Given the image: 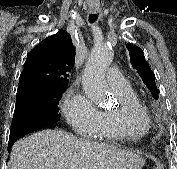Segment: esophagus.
<instances>
[{
    "label": "esophagus",
    "instance_id": "34e87169",
    "mask_svg": "<svg viewBox=\"0 0 177 169\" xmlns=\"http://www.w3.org/2000/svg\"><path fill=\"white\" fill-rule=\"evenodd\" d=\"M98 9H99L98 5L90 7V11L93 12V13H96L98 11Z\"/></svg>",
    "mask_w": 177,
    "mask_h": 169
}]
</instances>
